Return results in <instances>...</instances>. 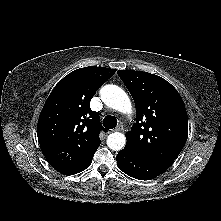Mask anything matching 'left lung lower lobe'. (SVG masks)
<instances>
[{
    "label": "left lung lower lobe",
    "mask_w": 221,
    "mask_h": 221,
    "mask_svg": "<svg viewBox=\"0 0 221 221\" xmlns=\"http://www.w3.org/2000/svg\"><path fill=\"white\" fill-rule=\"evenodd\" d=\"M116 159L121 171L139 180H150L166 171V168L136 155L127 148L119 151Z\"/></svg>",
    "instance_id": "obj_1"
}]
</instances>
